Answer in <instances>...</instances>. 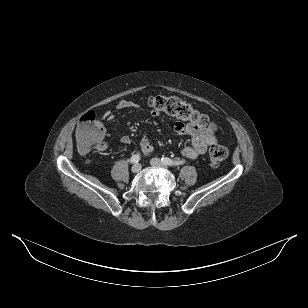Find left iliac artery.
I'll use <instances>...</instances> for the list:
<instances>
[{"instance_id": "1", "label": "left iliac artery", "mask_w": 308, "mask_h": 308, "mask_svg": "<svg viewBox=\"0 0 308 308\" xmlns=\"http://www.w3.org/2000/svg\"><path fill=\"white\" fill-rule=\"evenodd\" d=\"M161 162L165 165H168V166H179V165L184 164V161H174V160L167 158V157H162Z\"/></svg>"}]
</instances>
